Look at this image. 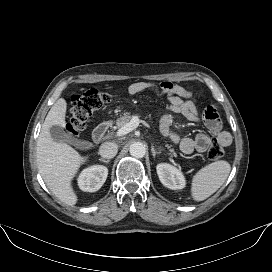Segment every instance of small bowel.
Wrapping results in <instances>:
<instances>
[{
	"label": "small bowel",
	"mask_w": 272,
	"mask_h": 272,
	"mask_svg": "<svg viewBox=\"0 0 272 272\" xmlns=\"http://www.w3.org/2000/svg\"><path fill=\"white\" fill-rule=\"evenodd\" d=\"M146 90L152 91L158 96H164L167 99L165 105L166 113L160 120L161 133L179 144L181 151L185 154L205 152L211 144V138L206 133H198L195 137L181 138L174 128L175 114L182 115L191 122L200 120L195 101L189 100L192 96L191 92L171 82L156 84L149 81H138L128 87V93L132 96ZM204 123L208 131L222 146H228L231 143V136L222 129L221 121L215 109L211 115L205 114Z\"/></svg>",
	"instance_id": "small-bowel-1"
}]
</instances>
